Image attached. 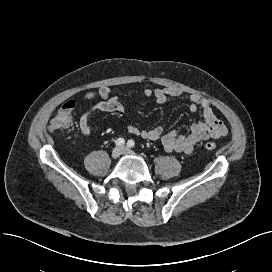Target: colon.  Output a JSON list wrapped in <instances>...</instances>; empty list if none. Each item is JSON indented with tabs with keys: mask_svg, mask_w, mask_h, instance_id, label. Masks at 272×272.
I'll return each instance as SVG.
<instances>
[{
	"mask_svg": "<svg viewBox=\"0 0 272 272\" xmlns=\"http://www.w3.org/2000/svg\"><path fill=\"white\" fill-rule=\"evenodd\" d=\"M71 108L68 106L61 107L55 114L49 125V131L57 132L60 130L68 129L71 126ZM202 150L211 151L215 148V144L212 142L202 143L200 145Z\"/></svg>",
	"mask_w": 272,
	"mask_h": 272,
	"instance_id": "1",
	"label": "colon"
}]
</instances>
